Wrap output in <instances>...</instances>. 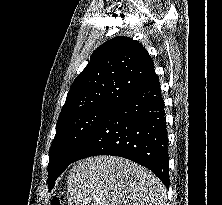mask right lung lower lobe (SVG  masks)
I'll list each match as a JSON object with an SVG mask.
<instances>
[{
	"mask_svg": "<svg viewBox=\"0 0 222 205\" xmlns=\"http://www.w3.org/2000/svg\"><path fill=\"white\" fill-rule=\"evenodd\" d=\"M96 155L135 161L169 186L168 137L158 78L122 98L90 134L72 162Z\"/></svg>",
	"mask_w": 222,
	"mask_h": 205,
	"instance_id": "right-lung-lower-lobe-1",
	"label": "right lung lower lobe"
}]
</instances>
